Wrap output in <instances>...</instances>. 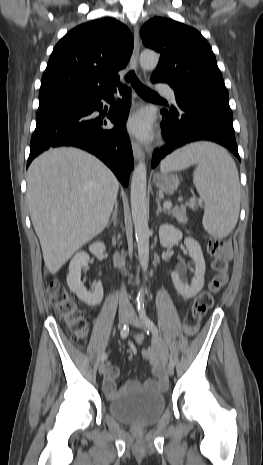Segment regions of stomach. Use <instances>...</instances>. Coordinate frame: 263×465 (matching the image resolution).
<instances>
[{"mask_svg":"<svg viewBox=\"0 0 263 465\" xmlns=\"http://www.w3.org/2000/svg\"><path fill=\"white\" fill-rule=\"evenodd\" d=\"M155 185L166 194H173L179 185V179L175 175L161 174L154 176Z\"/></svg>","mask_w":263,"mask_h":465,"instance_id":"1","label":"stomach"}]
</instances>
